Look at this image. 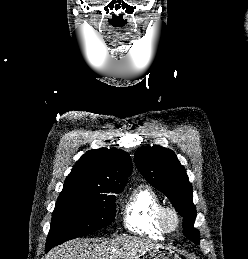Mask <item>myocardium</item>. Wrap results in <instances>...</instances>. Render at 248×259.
Wrapping results in <instances>:
<instances>
[{
  "label": "myocardium",
  "instance_id": "f54148a6",
  "mask_svg": "<svg viewBox=\"0 0 248 259\" xmlns=\"http://www.w3.org/2000/svg\"><path fill=\"white\" fill-rule=\"evenodd\" d=\"M159 221L167 233H172L180 227L181 217L174 207L163 206L159 214Z\"/></svg>",
  "mask_w": 248,
  "mask_h": 259
}]
</instances>
